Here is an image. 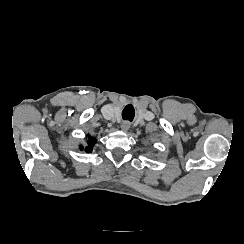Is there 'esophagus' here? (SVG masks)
<instances>
[{
    "instance_id": "34e87169",
    "label": "esophagus",
    "mask_w": 244,
    "mask_h": 244,
    "mask_svg": "<svg viewBox=\"0 0 244 244\" xmlns=\"http://www.w3.org/2000/svg\"><path fill=\"white\" fill-rule=\"evenodd\" d=\"M129 128H130V123H129V122H123V123L121 124V129H122L123 131H127V130H129Z\"/></svg>"
}]
</instances>
